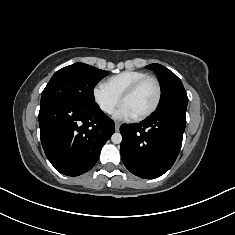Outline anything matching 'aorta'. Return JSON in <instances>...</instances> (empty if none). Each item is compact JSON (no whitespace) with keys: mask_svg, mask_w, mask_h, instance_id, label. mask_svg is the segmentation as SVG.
<instances>
[{"mask_svg":"<svg viewBox=\"0 0 235 235\" xmlns=\"http://www.w3.org/2000/svg\"><path fill=\"white\" fill-rule=\"evenodd\" d=\"M111 140L114 144H120L122 141V135L120 133H114Z\"/></svg>","mask_w":235,"mask_h":235,"instance_id":"762f6f07","label":"aorta"}]
</instances>
